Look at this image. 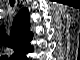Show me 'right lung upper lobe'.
<instances>
[{
    "instance_id": "right-lung-upper-lobe-1",
    "label": "right lung upper lobe",
    "mask_w": 80,
    "mask_h": 60,
    "mask_svg": "<svg viewBox=\"0 0 80 60\" xmlns=\"http://www.w3.org/2000/svg\"><path fill=\"white\" fill-rule=\"evenodd\" d=\"M29 27V11L28 9L23 8L14 19L12 33L9 41L6 43L7 46L14 49V54L22 56L23 58L25 57V54L32 49L30 40L32 39L33 34L29 31Z\"/></svg>"
}]
</instances>
